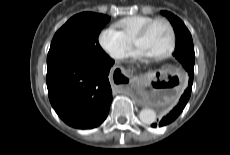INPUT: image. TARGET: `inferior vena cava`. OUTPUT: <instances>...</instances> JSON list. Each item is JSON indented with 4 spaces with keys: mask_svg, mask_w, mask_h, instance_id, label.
Instances as JSON below:
<instances>
[{
    "mask_svg": "<svg viewBox=\"0 0 230 155\" xmlns=\"http://www.w3.org/2000/svg\"><path fill=\"white\" fill-rule=\"evenodd\" d=\"M124 55V52L122 51H117L114 53L113 57L114 58H121Z\"/></svg>",
    "mask_w": 230,
    "mask_h": 155,
    "instance_id": "obj_1",
    "label": "inferior vena cava"
}]
</instances>
